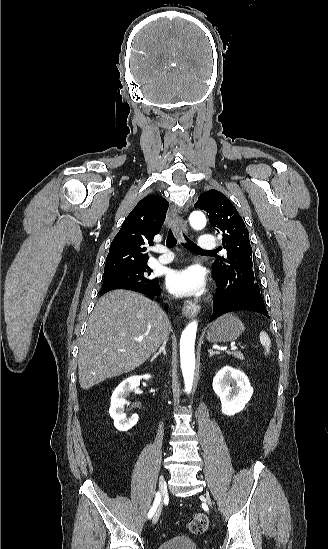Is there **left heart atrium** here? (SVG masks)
<instances>
[{"instance_id": "39dd6f15", "label": "left heart atrium", "mask_w": 328, "mask_h": 549, "mask_svg": "<svg viewBox=\"0 0 328 549\" xmlns=\"http://www.w3.org/2000/svg\"><path fill=\"white\" fill-rule=\"evenodd\" d=\"M205 274L198 266L172 271L166 281L168 290L177 296L197 295L205 289Z\"/></svg>"}]
</instances>
